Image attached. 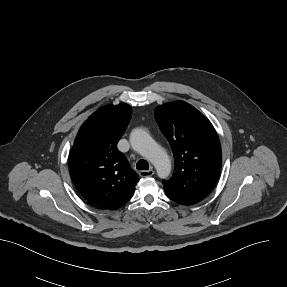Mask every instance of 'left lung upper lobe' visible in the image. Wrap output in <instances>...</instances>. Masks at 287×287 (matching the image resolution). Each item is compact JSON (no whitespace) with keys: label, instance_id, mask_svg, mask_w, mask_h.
<instances>
[{"label":"left lung upper lobe","instance_id":"1","mask_svg":"<svg viewBox=\"0 0 287 287\" xmlns=\"http://www.w3.org/2000/svg\"><path fill=\"white\" fill-rule=\"evenodd\" d=\"M155 119L175 160L172 178L163 181L166 195L186 205L201 201L213 189L221 170V146L213 125L184 101L158 106Z\"/></svg>","mask_w":287,"mask_h":287}]
</instances>
